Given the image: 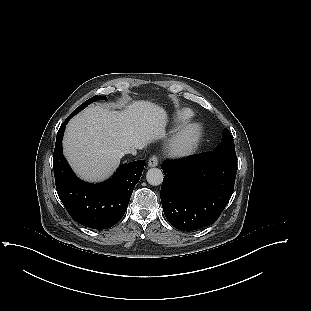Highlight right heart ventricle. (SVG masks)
Here are the masks:
<instances>
[{"label": "right heart ventricle", "mask_w": 311, "mask_h": 311, "mask_svg": "<svg viewBox=\"0 0 311 311\" xmlns=\"http://www.w3.org/2000/svg\"><path fill=\"white\" fill-rule=\"evenodd\" d=\"M194 113L191 109L182 108L175 112L173 123L174 125H181L188 122Z\"/></svg>", "instance_id": "1"}]
</instances>
